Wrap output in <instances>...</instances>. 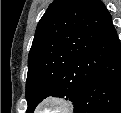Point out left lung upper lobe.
Returning a JSON list of instances; mask_svg holds the SVG:
<instances>
[{
	"label": "left lung upper lobe",
	"instance_id": "obj_1",
	"mask_svg": "<svg viewBox=\"0 0 121 113\" xmlns=\"http://www.w3.org/2000/svg\"><path fill=\"white\" fill-rule=\"evenodd\" d=\"M117 38L102 1L54 0L37 25L28 56L27 113L48 96L75 104Z\"/></svg>",
	"mask_w": 121,
	"mask_h": 113
}]
</instances>
